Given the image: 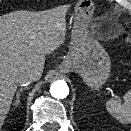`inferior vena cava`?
<instances>
[{
  "mask_svg": "<svg viewBox=\"0 0 131 131\" xmlns=\"http://www.w3.org/2000/svg\"><path fill=\"white\" fill-rule=\"evenodd\" d=\"M33 80H38V77L34 73H28L19 80V86H27Z\"/></svg>",
  "mask_w": 131,
  "mask_h": 131,
  "instance_id": "inferior-vena-cava-1",
  "label": "inferior vena cava"
}]
</instances>
